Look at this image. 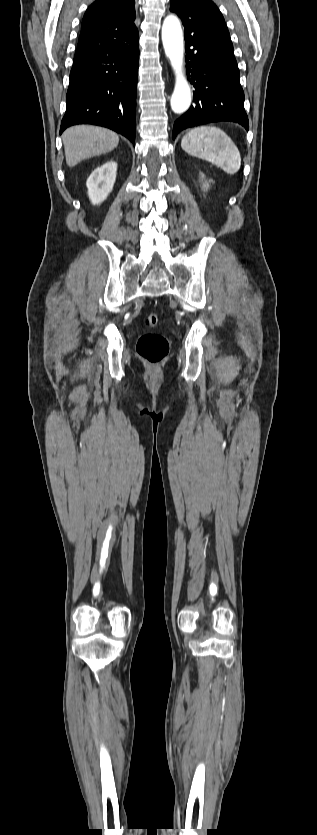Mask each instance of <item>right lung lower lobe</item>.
<instances>
[{
	"mask_svg": "<svg viewBox=\"0 0 317 835\" xmlns=\"http://www.w3.org/2000/svg\"><path fill=\"white\" fill-rule=\"evenodd\" d=\"M138 66V36L115 47L77 48L60 134L73 125L93 124L135 145Z\"/></svg>",
	"mask_w": 317,
	"mask_h": 835,
	"instance_id": "98d812e1",
	"label": "right lung lower lobe"
}]
</instances>
